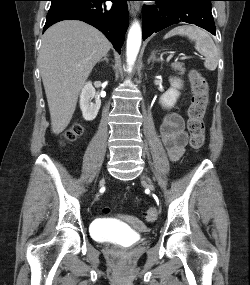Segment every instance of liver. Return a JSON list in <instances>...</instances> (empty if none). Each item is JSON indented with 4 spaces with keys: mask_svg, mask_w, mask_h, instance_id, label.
<instances>
[{
    "mask_svg": "<svg viewBox=\"0 0 250 285\" xmlns=\"http://www.w3.org/2000/svg\"><path fill=\"white\" fill-rule=\"evenodd\" d=\"M110 48L100 31L81 21H62L44 33L38 64L54 134L70 123L85 81Z\"/></svg>",
    "mask_w": 250,
    "mask_h": 285,
    "instance_id": "1",
    "label": "liver"
}]
</instances>
